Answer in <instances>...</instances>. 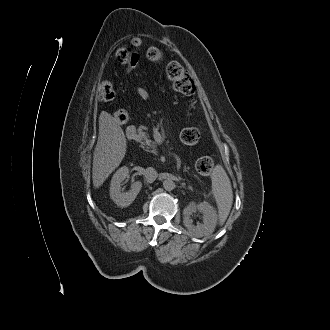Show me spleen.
Instances as JSON below:
<instances>
[{
    "label": "spleen",
    "mask_w": 330,
    "mask_h": 330,
    "mask_svg": "<svg viewBox=\"0 0 330 330\" xmlns=\"http://www.w3.org/2000/svg\"><path fill=\"white\" fill-rule=\"evenodd\" d=\"M211 180L212 192L218 207L219 225H223L230 213L233 203L231 182L221 165L215 166Z\"/></svg>",
    "instance_id": "3e777b00"
}]
</instances>
